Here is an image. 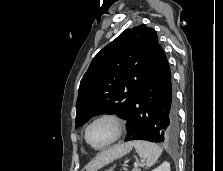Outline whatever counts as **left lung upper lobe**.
<instances>
[{"label": "left lung upper lobe", "instance_id": "obj_1", "mask_svg": "<svg viewBox=\"0 0 223 171\" xmlns=\"http://www.w3.org/2000/svg\"><path fill=\"white\" fill-rule=\"evenodd\" d=\"M158 45L155 30L142 24L98 52L80 82L75 127L104 113L127 119Z\"/></svg>", "mask_w": 223, "mask_h": 171}]
</instances>
